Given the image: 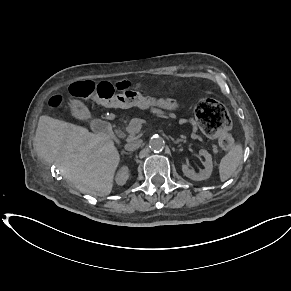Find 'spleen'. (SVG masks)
<instances>
[{
	"label": "spleen",
	"mask_w": 291,
	"mask_h": 291,
	"mask_svg": "<svg viewBox=\"0 0 291 291\" xmlns=\"http://www.w3.org/2000/svg\"><path fill=\"white\" fill-rule=\"evenodd\" d=\"M243 157L242 145H233L229 152L221 159L219 164V175L221 181L228 180L238 168Z\"/></svg>",
	"instance_id": "obj_1"
}]
</instances>
